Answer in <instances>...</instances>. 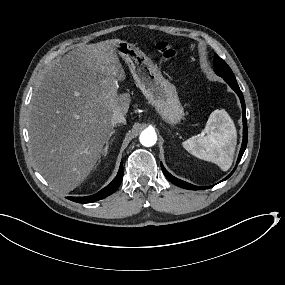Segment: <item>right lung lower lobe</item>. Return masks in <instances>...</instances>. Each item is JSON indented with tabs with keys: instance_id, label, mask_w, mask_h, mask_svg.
Masks as SVG:
<instances>
[{
	"instance_id": "1",
	"label": "right lung lower lobe",
	"mask_w": 285,
	"mask_h": 285,
	"mask_svg": "<svg viewBox=\"0 0 285 285\" xmlns=\"http://www.w3.org/2000/svg\"><path fill=\"white\" fill-rule=\"evenodd\" d=\"M122 179H123V164L121 162L117 176L109 185L100 190L98 193L86 197H67V198L77 203H90L101 200L114 193L120 186Z\"/></svg>"
}]
</instances>
